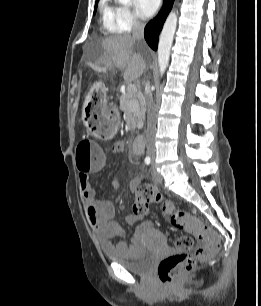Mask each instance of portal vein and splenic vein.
<instances>
[{"label":"portal vein and splenic vein","instance_id":"18ae733b","mask_svg":"<svg viewBox=\"0 0 261 306\" xmlns=\"http://www.w3.org/2000/svg\"><path fill=\"white\" fill-rule=\"evenodd\" d=\"M127 89L130 90V91H133V92H136L137 91V88L134 84H128L127 85Z\"/></svg>","mask_w":261,"mask_h":306}]
</instances>
